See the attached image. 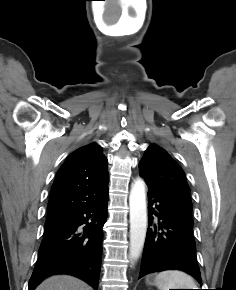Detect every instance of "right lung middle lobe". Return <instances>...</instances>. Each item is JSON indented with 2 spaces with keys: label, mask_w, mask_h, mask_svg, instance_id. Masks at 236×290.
Returning a JSON list of instances; mask_svg holds the SVG:
<instances>
[{
  "label": "right lung middle lobe",
  "mask_w": 236,
  "mask_h": 290,
  "mask_svg": "<svg viewBox=\"0 0 236 290\" xmlns=\"http://www.w3.org/2000/svg\"><path fill=\"white\" fill-rule=\"evenodd\" d=\"M55 223H57V222L46 221V222H45V227H49V226H51V225H53V224H55Z\"/></svg>",
  "instance_id": "right-lung-middle-lobe-1"
}]
</instances>
